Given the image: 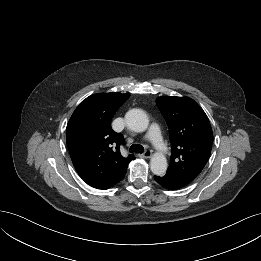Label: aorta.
Wrapping results in <instances>:
<instances>
[{"label":"aorta","instance_id":"1","mask_svg":"<svg viewBox=\"0 0 261 261\" xmlns=\"http://www.w3.org/2000/svg\"><path fill=\"white\" fill-rule=\"evenodd\" d=\"M127 127L135 132H144L149 125L147 114L141 109H131L125 115ZM150 168L153 174L163 176L167 170V159L161 153H155L150 160Z\"/></svg>","mask_w":261,"mask_h":261}]
</instances>
